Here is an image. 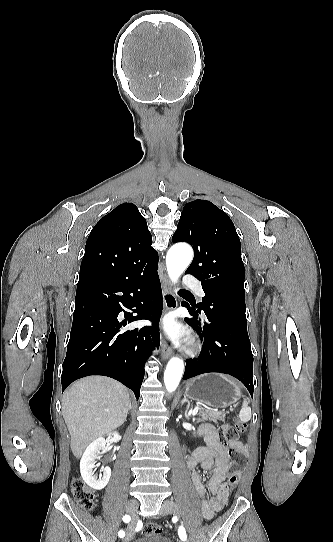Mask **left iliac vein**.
I'll use <instances>...</instances> for the list:
<instances>
[{
  "label": "left iliac vein",
  "mask_w": 333,
  "mask_h": 542,
  "mask_svg": "<svg viewBox=\"0 0 333 542\" xmlns=\"http://www.w3.org/2000/svg\"><path fill=\"white\" fill-rule=\"evenodd\" d=\"M162 507H163V512H162L163 515L170 514V513H173L175 515L180 514L179 508L177 507L176 503L172 500H165L162 504Z\"/></svg>",
  "instance_id": "obj_1"
}]
</instances>
